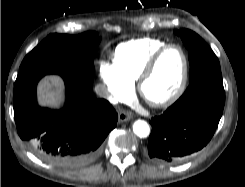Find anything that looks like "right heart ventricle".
Listing matches in <instances>:
<instances>
[{
    "label": "right heart ventricle",
    "instance_id": "1",
    "mask_svg": "<svg viewBox=\"0 0 245 187\" xmlns=\"http://www.w3.org/2000/svg\"><path fill=\"white\" fill-rule=\"evenodd\" d=\"M167 43L161 39L144 37L119 44L113 61L125 80L134 84L150 57Z\"/></svg>",
    "mask_w": 245,
    "mask_h": 187
}]
</instances>
